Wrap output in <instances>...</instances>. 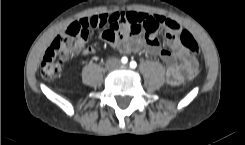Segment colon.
I'll list each match as a JSON object with an SVG mask.
<instances>
[{
	"label": "colon",
	"mask_w": 245,
	"mask_h": 145,
	"mask_svg": "<svg viewBox=\"0 0 245 145\" xmlns=\"http://www.w3.org/2000/svg\"><path fill=\"white\" fill-rule=\"evenodd\" d=\"M147 22L148 25L144 27L132 22L129 24L128 29L131 33L155 32L162 28L164 23H167L171 30H179V26L175 22L161 16L149 17ZM104 23L103 15L80 19L70 23L66 27L64 34L52 41L42 59L41 74L43 78H56L61 72L63 62L69 56L84 52L81 42L87 38L90 28L102 26ZM179 38L188 50L192 52L198 50L197 42L188 31L180 30Z\"/></svg>",
	"instance_id": "obj_1"
}]
</instances>
